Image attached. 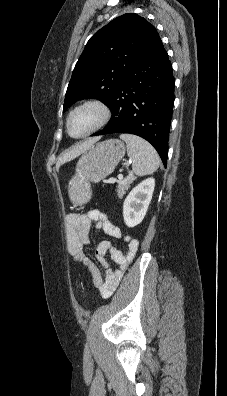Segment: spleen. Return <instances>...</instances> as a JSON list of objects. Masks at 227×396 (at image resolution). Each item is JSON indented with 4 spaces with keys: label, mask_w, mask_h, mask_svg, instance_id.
Instances as JSON below:
<instances>
[{
    "label": "spleen",
    "mask_w": 227,
    "mask_h": 396,
    "mask_svg": "<svg viewBox=\"0 0 227 396\" xmlns=\"http://www.w3.org/2000/svg\"><path fill=\"white\" fill-rule=\"evenodd\" d=\"M120 139L127 144V154L133 161L132 169L136 175H149L158 169L160 158L151 144L132 134H121Z\"/></svg>",
    "instance_id": "obj_1"
}]
</instances>
